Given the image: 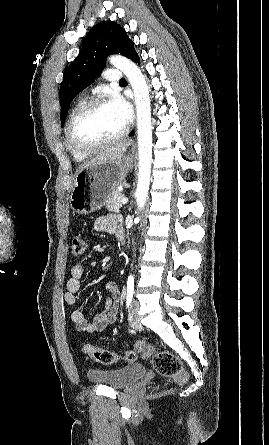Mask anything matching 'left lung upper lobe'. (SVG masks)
Segmentation results:
<instances>
[{
	"label": "left lung upper lobe",
	"instance_id": "obj_1",
	"mask_svg": "<svg viewBox=\"0 0 269 445\" xmlns=\"http://www.w3.org/2000/svg\"><path fill=\"white\" fill-rule=\"evenodd\" d=\"M84 40L80 54L64 71L59 91L62 126L70 103L102 71L108 55L120 53L133 61L138 58L133 41L129 39L126 31L114 21L95 25Z\"/></svg>",
	"mask_w": 269,
	"mask_h": 445
}]
</instances>
